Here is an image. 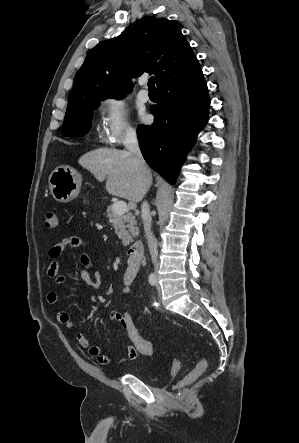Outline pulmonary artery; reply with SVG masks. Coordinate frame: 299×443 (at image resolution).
<instances>
[{"mask_svg": "<svg viewBox=\"0 0 299 443\" xmlns=\"http://www.w3.org/2000/svg\"><path fill=\"white\" fill-rule=\"evenodd\" d=\"M146 79L143 78L140 80V85L144 87L146 85ZM138 99L142 102H147L149 100V94L146 90H140L138 93Z\"/></svg>", "mask_w": 299, "mask_h": 443, "instance_id": "obj_1", "label": "pulmonary artery"}]
</instances>
